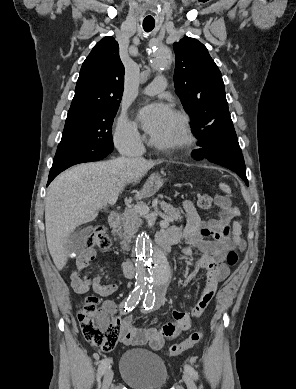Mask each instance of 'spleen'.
Wrapping results in <instances>:
<instances>
[{"label": "spleen", "mask_w": 296, "mask_h": 389, "mask_svg": "<svg viewBox=\"0 0 296 389\" xmlns=\"http://www.w3.org/2000/svg\"><path fill=\"white\" fill-rule=\"evenodd\" d=\"M219 187L227 194H230L231 193V189L228 185H226L225 183H220L219 184ZM237 214H239L238 211H236ZM241 226L238 222H234L233 223V239L236 243H238L240 241V235H241Z\"/></svg>", "instance_id": "spleen-1"}]
</instances>
